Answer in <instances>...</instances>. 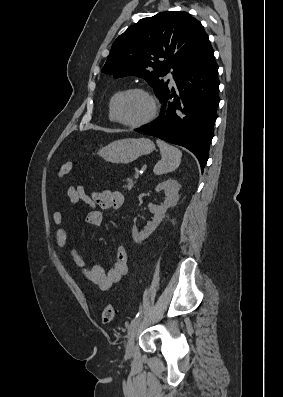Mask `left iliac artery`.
Wrapping results in <instances>:
<instances>
[{
    "mask_svg": "<svg viewBox=\"0 0 283 397\" xmlns=\"http://www.w3.org/2000/svg\"><path fill=\"white\" fill-rule=\"evenodd\" d=\"M141 312H142V307L140 306L139 312L137 313V315L135 316V318L131 321V324L134 323V322L140 317ZM131 324H130V325H131Z\"/></svg>",
    "mask_w": 283,
    "mask_h": 397,
    "instance_id": "obj_1",
    "label": "left iliac artery"
}]
</instances>
